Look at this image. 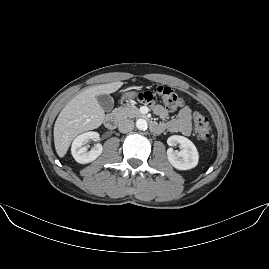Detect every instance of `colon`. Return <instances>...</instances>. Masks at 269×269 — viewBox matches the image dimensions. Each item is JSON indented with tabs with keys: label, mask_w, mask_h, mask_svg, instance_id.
<instances>
[{
	"label": "colon",
	"mask_w": 269,
	"mask_h": 269,
	"mask_svg": "<svg viewBox=\"0 0 269 269\" xmlns=\"http://www.w3.org/2000/svg\"><path fill=\"white\" fill-rule=\"evenodd\" d=\"M135 98L142 103L151 104L159 101L165 108L169 110H178L183 105L182 97L172 88L161 85L156 89V94L147 90H142L136 93ZM193 128L195 135L201 141L208 142L210 140L209 135V123L206 117L196 112L193 115Z\"/></svg>",
	"instance_id": "5ec220e1"
}]
</instances>
